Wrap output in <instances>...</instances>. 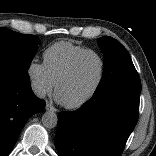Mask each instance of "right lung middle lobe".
Instances as JSON below:
<instances>
[{
  "label": "right lung middle lobe",
  "instance_id": "dd1d6c3e",
  "mask_svg": "<svg viewBox=\"0 0 156 156\" xmlns=\"http://www.w3.org/2000/svg\"><path fill=\"white\" fill-rule=\"evenodd\" d=\"M39 44L36 36L0 28V72L29 78L27 71Z\"/></svg>",
  "mask_w": 156,
  "mask_h": 156
}]
</instances>
